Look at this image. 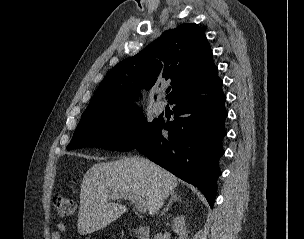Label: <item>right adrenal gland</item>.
I'll return each instance as SVG.
<instances>
[{"instance_id":"obj_1","label":"right adrenal gland","mask_w":304,"mask_h":239,"mask_svg":"<svg viewBox=\"0 0 304 239\" xmlns=\"http://www.w3.org/2000/svg\"><path fill=\"white\" fill-rule=\"evenodd\" d=\"M173 201H180V198L177 196L175 192L171 193V199L169 200L167 207L163 210L162 214H164V212H166L169 209Z\"/></svg>"}]
</instances>
